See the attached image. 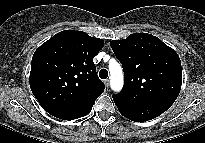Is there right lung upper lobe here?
<instances>
[{
    "label": "right lung upper lobe",
    "instance_id": "obj_1",
    "mask_svg": "<svg viewBox=\"0 0 205 143\" xmlns=\"http://www.w3.org/2000/svg\"><path fill=\"white\" fill-rule=\"evenodd\" d=\"M103 46L102 39L65 30L35 51L29 83L44 110L51 115L77 114L95 102L105 86L93 58Z\"/></svg>",
    "mask_w": 205,
    "mask_h": 143
}]
</instances>
